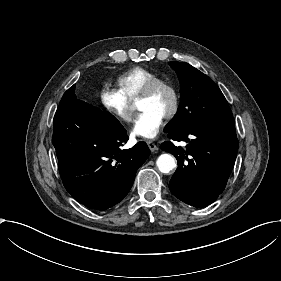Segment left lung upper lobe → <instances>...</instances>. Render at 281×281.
Instances as JSON below:
<instances>
[{
	"mask_svg": "<svg viewBox=\"0 0 281 281\" xmlns=\"http://www.w3.org/2000/svg\"><path fill=\"white\" fill-rule=\"evenodd\" d=\"M180 81V105L164 132H176L199 124L233 118L218 86L188 63H168Z\"/></svg>",
	"mask_w": 281,
	"mask_h": 281,
	"instance_id": "1",
	"label": "left lung upper lobe"
}]
</instances>
